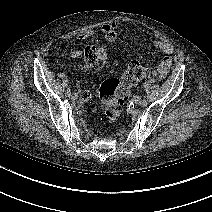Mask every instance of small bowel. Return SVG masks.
<instances>
[{
	"mask_svg": "<svg viewBox=\"0 0 212 212\" xmlns=\"http://www.w3.org/2000/svg\"><path fill=\"white\" fill-rule=\"evenodd\" d=\"M97 32L102 33L107 41L114 42L118 39V37L121 34V26L118 21L106 23V24L101 25L97 29H91L82 34H79L77 36V39L85 40V39L93 36ZM151 46L153 48L161 50L162 52L167 54V56L163 57L157 65V74L159 77L163 78L168 73V71L171 67V64H172V59H171L170 55L174 51L173 45L171 43H169L168 41L155 39L151 42ZM80 54H81L80 50H75V51L71 52V56L75 57V58L79 57ZM88 95H89L88 91H84L82 93L83 98H86Z\"/></svg>",
	"mask_w": 212,
	"mask_h": 212,
	"instance_id": "small-bowel-1",
	"label": "small bowel"
}]
</instances>
